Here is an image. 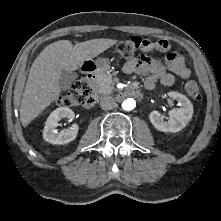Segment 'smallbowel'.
I'll use <instances>...</instances> for the list:
<instances>
[{"instance_id":"c3829d8e","label":"small bowel","mask_w":221,"mask_h":221,"mask_svg":"<svg viewBox=\"0 0 221 221\" xmlns=\"http://www.w3.org/2000/svg\"><path fill=\"white\" fill-rule=\"evenodd\" d=\"M143 52L157 50L165 52L164 58L166 65L149 59L141 55L137 58L130 59L123 66V71L127 74L136 73L145 76L144 85L148 89L154 88L157 83L164 86H171L176 77L187 79L191 72L185 64L181 53L178 50L169 49L165 40L151 42L146 40V45L141 49Z\"/></svg>"}]
</instances>
